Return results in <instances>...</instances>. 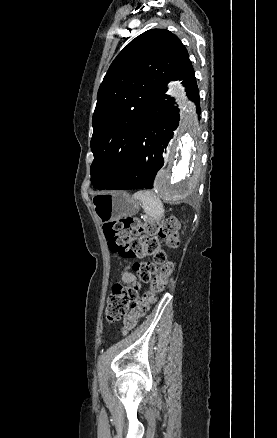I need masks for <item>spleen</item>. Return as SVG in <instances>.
Instances as JSON below:
<instances>
[{
    "instance_id": "spleen-1",
    "label": "spleen",
    "mask_w": 277,
    "mask_h": 438,
    "mask_svg": "<svg viewBox=\"0 0 277 438\" xmlns=\"http://www.w3.org/2000/svg\"><path fill=\"white\" fill-rule=\"evenodd\" d=\"M133 198H135V200H140L142 208L147 216H152V218L163 216V204L160 198H158L154 192H146V190H141V192H136Z\"/></svg>"
}]
</instances>
